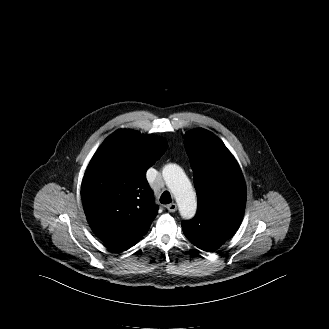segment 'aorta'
<instances>
[{
	"label": "aorta",
	"mask_w": 329,
	"mask_h": 329,
	"mask_svg": "<svg viewBox=\"0 0 329 329\" xmlns=\"http://www.w3.org/2000/svg\"><path fill=\"white\" fill-rule=\"evenodd\" d=\"M162 176L176 199L180 215L185 219L194 217L197 208L196 195L182 168L176 164H167Z\"/></svg>",
	"instance_id": "obj_1"
}]
</instances>
